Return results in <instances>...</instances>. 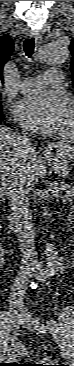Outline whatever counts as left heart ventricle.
Listing matches in <instances>:
<instances>
[{"label": "left heart ventricle", "mask_w": 74, "mask_h": 366, "mask_svg": "<svg viewBox=\"0 0 74 366\" xmlns=\"http://www.w3.org/2000/svg\"><path fill=\"white\" fill-rule=\"evenodd\" d=\"M70 125H71V114H70V111H69V113L67 114V116L64 119V126H65V128H69Z\"/></svg>", "instance_id": "obj_1"}]
</instances>
